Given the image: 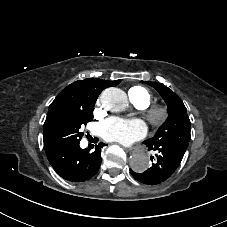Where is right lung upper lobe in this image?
I'll list each match as a JSON object with an SVG mask.
<instances>
[{
  "mask_svg": "<svg viewBox=\"0 0 227 227\" xmlns=\"http://www.w3.org/2000/svg\"><path fill=\"white\" fill-rule=\"evenodd\" d=\"M120 82L121 80L106 81L97 78L75 81L65 87L51 104L58 101H70L76 103L96 102L103 89L116 86Z\"/></svg>",
  "mask_w": 227,
  "mask_h": 227,
  "instance_id": "cb5924a9",
  "label": "right lung upper lobe"
}]
</instances>
